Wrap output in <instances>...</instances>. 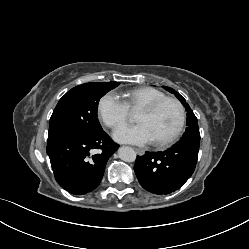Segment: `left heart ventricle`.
Segmentation results:
<instances>
[{"instance_id":"obj_1","label":"left heart ventricle","mask_w":249,"mask_h":249,"mask_svg":"<svg viewBox=\"0 0 249 249\" xmlns=\"http://www.w3.org/2000/svg\"><path fill=\"white\" fill-rule=\"evenodd\" d=\"M180 112L173 102L163 103L152 113L138 111L136 121L145 124L151 132L154 141L170 136L179 124Z\"/></svg>"}]
</instances>
